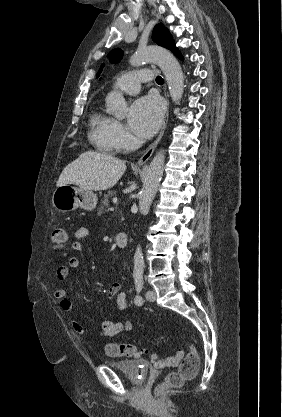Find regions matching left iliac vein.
I'll return each mask as SVG.
<instances>
[{"instance_id":"obj_1","label":"left iliac vein","mask_w":282,"mask_h":417,"mask_svg":"<svg viewBox=\"0 0 282 417\" xmlns=\"http://www.w3.org/2000/svg\"><path fill=\"white\" fill-rule=\"evenodd\" d=\"M146 299L150 302H154L156 299V294L154 291H147L146 293Z\"/></svg>"}]
</instances>
